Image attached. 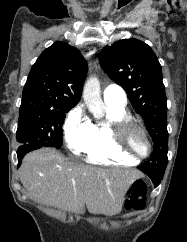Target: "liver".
Segmentation results:
<instances>
[{"instance_id":"liver-1","label":"liver","mask_w":187,"mask_h":242,"mask_svg":"<svg viewBox=\"0 0 187 242\" xmlns=\"http://www.w3.org/2000/svg\"><path fill=\"white\" fill-rule=\"evenodd\" d=\"M135 170L102 169L71 161L55 149L27 154L19 170L21 183L36 201L83 214L113 216L124 205L135 179Z\"/></svg>"}]
</instances>
